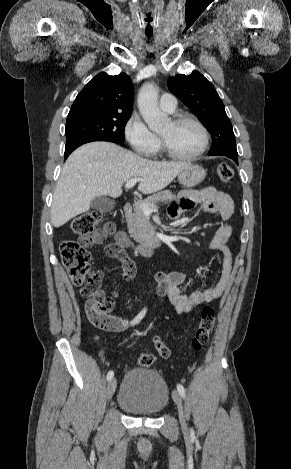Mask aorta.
<instances>
[{
    "mask_svg": "<svg viewBox=\"0 0 291 469\" xmlns=\"http://www.w3.org/2000/svg\"><path fill=\"white\" fill-rule=\"evenodd\" d=\"M138 108L152 131L162 130L170 119L158 107V90L152 83L144 84L138 94Z\"/></svg>",
    "mask_w": 291,
    "mask_h": 469,
    "instance_id": "aorta-1",
    "label": "aorta"
}]
</instances>
